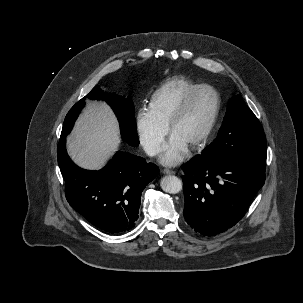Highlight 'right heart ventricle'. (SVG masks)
<instances>
[{
  "label": "right heart ventricle",
  "instance_id": "right-heart-ventricle-1",
  "mask_svg": "<svg viewBox=\"0 0 303 303\" xmlns=\"http://www.w3.org/2000/svg\"><path fill=\"white\" fill-rule=\"evenodd\" d=\"M198 85L200 84L185 76L167 79L152 94L149 110L161 123L168 125L185 95Z\"/></svg>",
  "mask_w": 303,
  "mask_h": 303
}]
</instances>
